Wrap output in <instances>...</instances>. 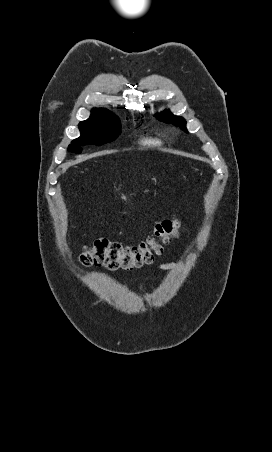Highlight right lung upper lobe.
Instances as JSON below:
<instances>
[{"instance_id":"cb5924a9","label":"right lung upper lobe","mask_w":272,"mask_h":452,"mask_svg":"<svg viewBox=\"0 0 272 452\" xmlns=\"http://www.w3.org/2000/svg\"><path fill=\"white\" fill-rule=\"evenodd\" d=\"M108 112L109 111H107L105 109H93L90 118L87 119V120L99 117V116H101V115H103L105 113H108ZM87 120H85V121H87ZM82 122H84V121H82Z\"/></svg>"}]
</instances>
